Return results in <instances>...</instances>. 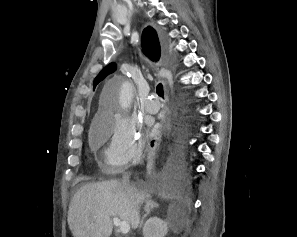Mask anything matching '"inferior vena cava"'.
Instances as JSON below:
<instances>
[{
    "label": "inferior vena cava",
    "instance_id": "inferior-vena-cava-1",
    "mask_svg": "<svg viewBox=\"0 0 297 237\" xmlns=\"http://www.w3.org/2000/svg\"><path fill=\"white\" fill-rule=\"evenodd\" d=\"M122 184L130 194L133 193V190L129 184V176L128 175L123 178Z\"/></svg>",
    "mask_w": 297,
    "mask_h": 237
}]
</instances>
